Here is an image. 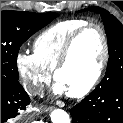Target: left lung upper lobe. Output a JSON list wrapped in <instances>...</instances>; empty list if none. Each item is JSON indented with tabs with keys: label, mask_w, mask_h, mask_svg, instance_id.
I'll return each mask as SVG.
<instances>
[{
	"label": "left lung upper lobe",
	"mask_w": 123,
	"mask_h": 123,
	"mask_svg": "<svg viewBox=\"0 0 123 123\" xmlns=\"http://www.w3.org/2000/svg\"><path fill=\"white\" fill-rule=\"evenodd\" d=\"M85 10L100 13L104 22L108 40L109 60L105 77L97 87L110 88L117 82L123 81V25L103 8L95 6Z\"/></svg>",
	"instance_id": "5c2ea615"
}]
</instances>
